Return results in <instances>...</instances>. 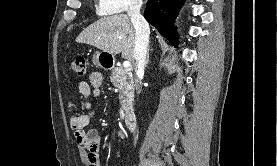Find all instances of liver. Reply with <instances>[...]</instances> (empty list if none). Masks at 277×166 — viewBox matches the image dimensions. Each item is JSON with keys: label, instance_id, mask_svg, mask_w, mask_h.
Instances as JSON below:
<instances>
[{"label": "liver", "instance_id": "obj_1", "mask_svg": "<svg viewBox=\"0 0 277 166\" xmlns=\"http://www.w3.org/2000/svg\"><path fill=\"white\" fill-rule=\"evenodd\" d=\"M76 42L92 45L112 55L122 53L124 59L134 62L135 28L126 14L97 20L79 34Z\"/></svg>", "mask_w": 277, "mask_h": 166}]
</instances>
